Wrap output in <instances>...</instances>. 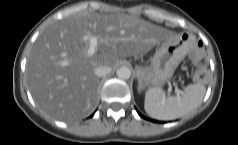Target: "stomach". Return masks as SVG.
Instances as JSON below:
<instances>
[{"mask_svg":"<svg viewBox=\"0 0 238 145\" xmlns=\"http://www.w3.org/2000/svg\"><path fill=\"white\" fill-rule=\"evenodd\" d=\"M196 42L191 33H180L177 37H168L158 43L151 64L139 66L136 74L138 88H160L173 76L182 59L187 58Z\"/></svg>","mask_w":238,"mask_h":145,"instance_id":"obj_1","label":"stomach"}]
</instances>
